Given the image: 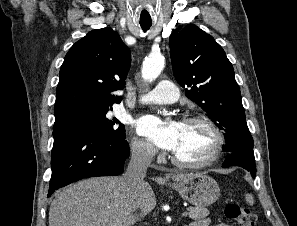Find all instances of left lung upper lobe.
Listing matches in <instances>:
<instances>
[{"label": "left lung upper lobe", "mask_w": 297, "mask_h": 226, "mask_svg": "<svg viewBox=\"0 0 297 226\" xmlns=\"http://www.w3.org/2000/svg\"><path fill=\"white\" fill-rule=\"evenodd\" d=\"M173 73L185 95L224 132L227 154L253 152L240 88L222 47L194 24L170 36Z\"/></svg>", "instance_id": "obj_1"}]
</instances>
